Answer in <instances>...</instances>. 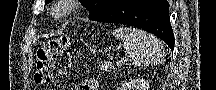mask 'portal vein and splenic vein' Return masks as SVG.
Listing matches in <instances>:
<instances>
[{
    "mask_svg": "<svg viewBox=\"0 0 216 90\" xmlns=\"http://www.w3.org/2000/svg\"><path fill=\"white\" fill-rule=\"evenodd\" d=\"M117 66H122V64H120V62H116Z\"/></svg>",
    "mask_w": 216,
    "mask_h": 90,
    "instance_id": "obj_1",
    "label": "portal vein and splenic vein"
}]
</instances>
